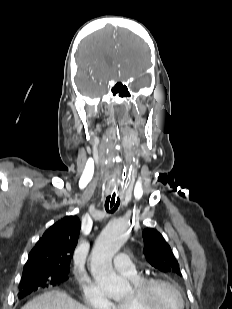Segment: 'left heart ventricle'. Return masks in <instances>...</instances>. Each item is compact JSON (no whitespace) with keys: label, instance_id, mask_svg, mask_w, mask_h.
I'll use <instances>...</instances> for the list:
<instances>
[{"label":"left heart ventricle","instance_id":"1","mask_svg":"<svg viewBox=\"0 0 232 309\" xmlns=\"http://www.w3.org/2000/svg\"><path fill=\"white\" fill-rule=\"evenodd\" d=\"M153 299L157 309H180L181 307L178 294L165 285H159L154 289Z\"/></svg>","mask_w":232,"mask_h":309}]
</instances>
